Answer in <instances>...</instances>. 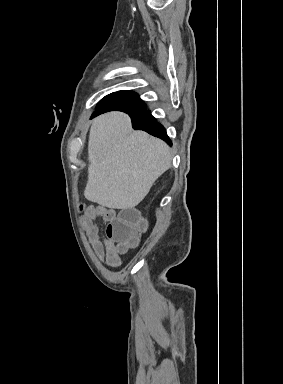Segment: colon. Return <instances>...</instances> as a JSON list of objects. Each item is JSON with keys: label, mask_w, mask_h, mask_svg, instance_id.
Wrapping results in <instances>:
<instances>
[{"label": "colon", "mask_w": 283, "mask_h": 384, "mask_svg": "<svg viewBox=\"0 0 283 384\" xmlns=\"http://www.w3.org/2000/svg\"><path fill=\"white\" fill-rule=\"evenodd\" d=\"M144 220L137 209L123 210L107 227V234L121 249L133 245Z\"/></svg>", "instance_id": "1"}]
</instances>
